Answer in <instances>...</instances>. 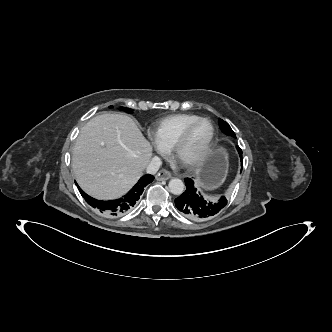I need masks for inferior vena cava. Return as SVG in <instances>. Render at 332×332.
Listing matches in <instances>:
<instances>
[{"instance_id": "obj_1", "label": "inferior vena cava", "mask_w": 332, "mask_h": 332, "mask_svg": "<svg viewBox=\"0 0 332 332\" xmlns=\"http://www.w3.org/2000/svg\"><path fill=\"white\" fill-rule=\"evenodd\" d=\"M161 165H162L161 159L155 156L150 160L149 164L147 165L146 172L148 174H156Z\"/></svg>"}]
</instances>
